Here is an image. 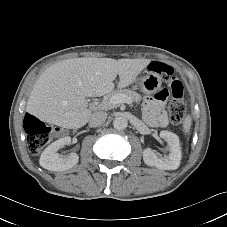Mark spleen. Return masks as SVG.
I'll list each match as a JSON object with an SVG mask.
<instances>
[{
    "mask_svg": "<svg viewBox=\"0 0 227 227\" xmlns=\"http://www.w3.org/2000/svg\"><path fill=\"white\" fill-rule=\"evenodd\" d=\"M191 124H192V119L188 115V116L185 117V119L183 121V130H184L185 133H189L190 128H191Z\"/></svg>",
    "mask_w": 227,
    "mask_h": 227,
    "instance_id": "obj_1",
    "label": "spleen"
}]
</instances>
